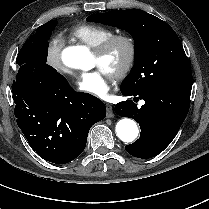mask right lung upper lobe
Returning a JSON list of instances; mask_svg holds the SVG:
<instances>
[{
	"label": "right lung upper lobe",
	"mask_w": 209,
	"mask_h": 209,
	"mask_svg": "<svg viewBox=\"0 0 209 209\" xmlns=\"http://www.w3.org/2000/svg\"><path fill=\"white\" fill-rule=\"evenodd\" d=\"M53 22H54V20H51V21H49V22H47V23L41 25L40 27H38L37 30H38V29H46V28L50 27V26L52 25Z\"/></svg>",
	"instance_id": "1"
}]
</instances>
